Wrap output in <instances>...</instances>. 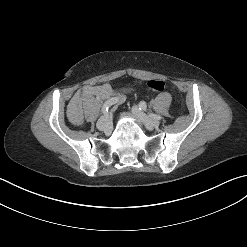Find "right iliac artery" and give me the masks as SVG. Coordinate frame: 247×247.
<instances>
[{
	"label": "right iliac artery",
	"instance_id": "82829eb1",
	"mask_svg": "<svg viewBox=\"0 0 247 247\" xmlns=\"http://www.w3.org/2000/svg\"><path fill=\"white\" fill-rule=\"evenodd\" d=\"M120 101V98L119 97H112L110 99H108L102 106V109H101V113H100V118L102 117V114H107L108 111H109V108L118 103Z\"/></svg>",
	"mask_w": 247,
	"mask_h": 247
}]
</instances>
